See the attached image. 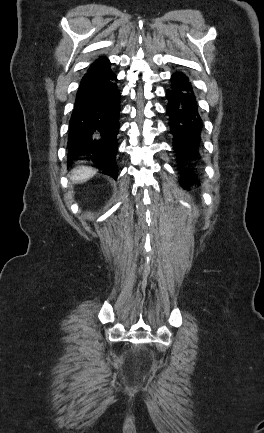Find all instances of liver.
<instances>
[{
	"label": "liver",
	"mask_w": 264,
	"mask_h": 433,
	"mask_svg": "<svg viewBox=\"0 0 264 433\" xmlns=\"http://www.w3.org/2000/svg\"><path fill=\"white\" fill-rule=\"evenodd\" d=\"M97 173L96 169L91 167L79 166L71 172L70 179L73 182H85Z\"/></svg>",
	"instance_id": "obj_1"
}]
</instances>
